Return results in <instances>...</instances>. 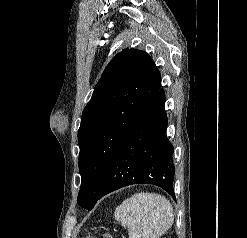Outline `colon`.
<instances>
[{"instance_id": "colon-1", "label": "colon", "mask_w": 247, "mask_h": 238, "mask_svg": "<svg viewBox=\"0 0 247 238\" xmlns=\"http://www.w3.org/2000/svg\"><path fill=\"white\" fill-rule=\"evenodd\" d=\"M100 238H114V237L112 235H110V234H103V235L100 236Z\"/></svg>"}]
</instances>
